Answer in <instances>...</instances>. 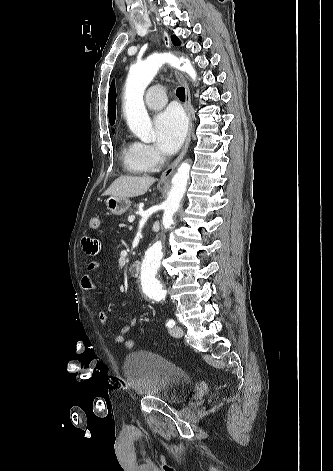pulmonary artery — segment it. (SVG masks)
Masks as SVG:
<instances>
[{
  "mask_svg": "<svg viewBox=\"0 0 333 471\" xmlns=\"http://www.w3.org/2000/svg\"><path fill=\"white\" fill-rule=\"evenodd\" d=\"M167 97L162 86L156 85L151 87L145 96V104L151 110H158L165 106Z\"/></svg>",
  "mask_w": 333,
  "mask_h": 471,
  "instance_id": "1",
  "label": "pulmonary artery"
}]
</instances>
